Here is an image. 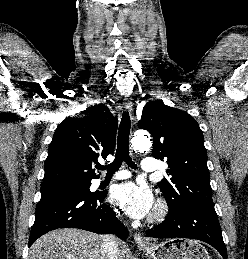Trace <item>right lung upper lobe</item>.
Here are the masks:
<instances>
[{
    "mask_svg": "<svg viewBox=\"0 0 248 259\" xmlns=\"http://www.w3.org/2000/svg\"><path fill=\"white\" fill-rule=\"evenodd\" d=\"M81 118H66L58 125L49 145L42 184L88 181L97 178L93 166L115 147L118 120L104 104L82 112Z\"/></svg>",
    "mask_w": 248,
    "mask_h": 259,
    "instance_id": "1",
    "label": "right lung upper lobe"
}]
</instances>
